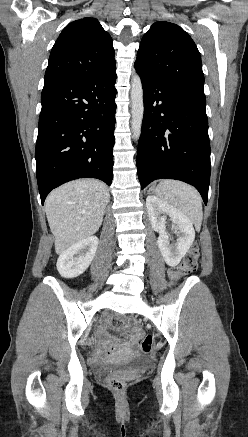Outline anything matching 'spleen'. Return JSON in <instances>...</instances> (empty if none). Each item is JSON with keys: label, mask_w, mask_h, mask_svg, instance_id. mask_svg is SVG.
Returning a JSON list of instances; mask_svg holds the SVG:
<instances>
[{"label": "spleen", "mask_w": 248, "mask_h": 437, "mask_svg": "<svg viewBox=\"0 0 248 437\" xmlns=\"http://www.w3.org/2000/svg\"><path fill=\"white\" fill-rule=\"evenodd\" d=\"M156 194L200 229L203 218L202 198L195 188L176 180H162L156 188Z\"/></svg>", "instance_id": "1"}]
</instances>
